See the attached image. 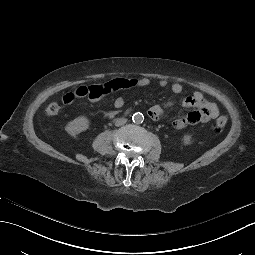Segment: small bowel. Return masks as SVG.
<instances>
[{
  "mask_svg": "<svg viewBox=\"0 0 255 255\" xmlns=\"http://www.w3.org/2000/svg\"><path fill=\"white\" fill-rule=\"evenodd\" d=\"M151 84V80L147 77L142 78H116L108 82H99L91 85H80L75 89L67 92L63 96V102L65 104L72 103L77 98L87 97L89 100L95 102L107 94L121 89H134L143 88ZM160 87H167L168 81L161 79L158 81ZM173 93L179 94L183 90V86L179 82H174L170 85ZM125 103L124 97L118 96L114 100V106L116 108L123 107ZM172 102L167 101L162 105H154L149 110V115L158 119L164 112V109L171 106ZM182 105L187 108H195V110L189 112L187 115L179 117L173 121V126L176 129L185 128L188 125L197 123H206L219 114L217 105L213 102L208 101L200 92H194L193 94L185 97L182 101Z\"/></svg>",
  "mask_w": 255,
  "mask_h": 255,
  "instance_id": "1",
  "label": "small bowel"
}]
</instances>
